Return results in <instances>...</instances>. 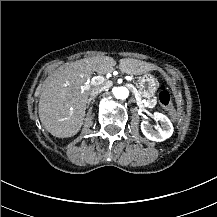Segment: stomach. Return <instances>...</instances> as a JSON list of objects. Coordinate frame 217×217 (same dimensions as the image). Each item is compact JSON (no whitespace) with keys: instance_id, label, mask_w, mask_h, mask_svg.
<instances>
[{"instance_id":"obj_1","label":"stomach","mask_w":217,"mask_h":217,"mask_svg":"<svg viewBox=\"0 0 217 217\" xmlns=\"http://www.w3.org/2000/svg\"><path fill=\"white\" fill-rule=\"evenodd\" d=\"M159 87L157 78L150 74L145 73L138 81V88L143 97L151 98Z\"/></svg>"}]
</instances>
